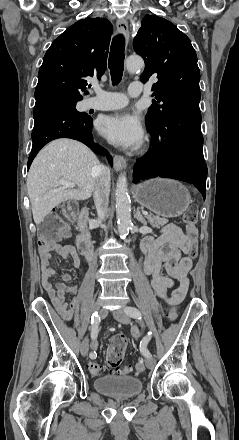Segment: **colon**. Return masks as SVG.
I'll return each instance as SVG.
<instances>
[{
	"instance_id": "1",
	"label": "colon",
	"mask_w": 239,
	"mask_h": 440,
	"mask_svg": "<svg viewBox=\"0 0 239 440\" xmlns=\"http://www.w3.org/2000/svg\"><path fill=\"white\" fill-rule=\"evenodd\" d=\"M77 212V205L73 202H69L63 205L57 206L53 209L51 215L47 216L44 222L40 226L39 231V246L47 247L60 238L64 230V224L59 217L63 215L66 218L74 216ZM198 219V208L196 205H190L184 215L183 220L186 224L187 236L192 241V247L190 249L191 257L197 255L196 237L197 228L196 222ZM177 314L174 309H171L168 313V318L171 321L176 320ZM127 347V338L122 334L115 335L110 341L106 351V366L110 371H119L122 374H128L132 371L130 366H122L125 350ZM89 371L93 375H99L101 373V366L97 362H90L88 365ZM135 371L137 374H142L145 371V364L142 360L137 361L135 364Z\"/></svg>"
}]
</instances>
